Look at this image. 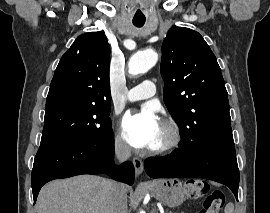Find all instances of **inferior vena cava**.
Returning a JSON list of instances; mask_svg holds the SVG:
<instances>
[{
	"label": "inferior vena cava",
	"mask_w": 270,
	"mask_h": 213,
	"mask_svg": "<svg viewBox=\"0 0 270 213\" xmlns=\"http://www.w3.org/2000/svg\"><path fill=\"white\" fill-rule=\"evenodd\" d=\"M115 156L119 162H123L130 158L131 148L123 142H117ZM110 213H127V194L123 185L118 182H112Z\"/></svg>",
	"instance_id": "obj_1"
}]
</instances>
